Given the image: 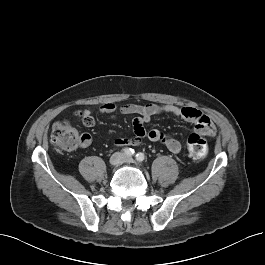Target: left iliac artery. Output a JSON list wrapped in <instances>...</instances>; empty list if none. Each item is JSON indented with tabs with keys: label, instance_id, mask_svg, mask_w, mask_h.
Wrapping results in <instances>:
<instances>
[{
	"label": "left iliac artery",
	"instance_id": "left-iliac-artery-1",
	"mask_svg": "<svg viewBox=\"0 0 265 265\" xmlns=\"http://www.w3.org/2000/svg\"><path fill=\"white\" fill-rule=\"evenodd\" d=\"M136 159H137V161L142 162L145 159V156L143 153H137Z\"/></svg>",
	"mask_w": 265,
	"mask_h": 265
}]
</instances>
